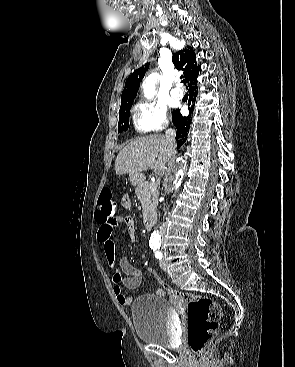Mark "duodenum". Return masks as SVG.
Segmentation results:
<instances>
[{
	"label": "duodenum",
	"instance_id": "duodenum-1",
	"mask_svg": "<svg viewBox=\"0 0 295 367\" xmlns=\"http://www.w3.org/2000/svg\"><path fill=\"white\" fill-rule=\"evenodd\" d=\"M143 223L146 229H151L155 223V215L153 214L146 215L144 217Z\"/></svg>",
	"mask_w": 295,
	"mask_h": 367
}]
</instances>
